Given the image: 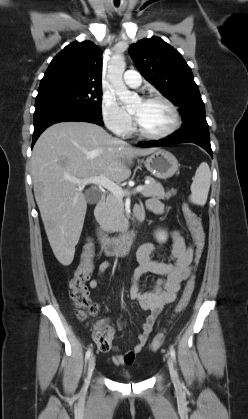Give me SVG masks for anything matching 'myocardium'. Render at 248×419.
I'll return each mask as SVG.
<instances>
[{"label": "myocardium", "mask_w": 248, "mask_h": 419, "mask_svg": "<svg viewBox=\"0 0 248 419\" xmlns=\"http://www.w3.org/2000/svg\"><path fill=\"white\" fill-rule=\"evenodd\" d=\"M144 101L146 102L159 101V102L164 103L172 113L173 122L168 129H166L165 131L161 133H148L142 129L138 120L133 115L134 130L138 136L145 139H149V140H161V139H165L173 135L179 129V127L181 126V115L177 106L169 98L163 95L156 94V95H150V96L145 97Z\"/></svg>", "instance_id": "myocardium-1"}]
</instances>
